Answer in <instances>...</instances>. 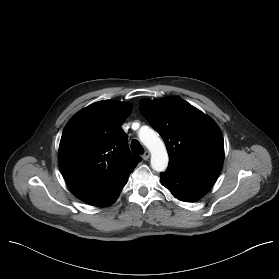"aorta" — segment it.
Masks as SVG:
<instances>
[{
	"label": "aorta",
	"mask_w": 279,
	"mask_h": 279,
	"mask_svg": "<svg viewBox=\"0 0 279 279\" xmlns=\"http://www.w3.org/2000/svg\"><path fill=\"white\" fill-rule=\"evenodd\" d=\"M140 141L151 153V168L156 172H163L168 166V153L164 142L151 128L145 127L138 133Z\"/></svg>",
	"instance_id": "obj_1"
}]
</instances>
